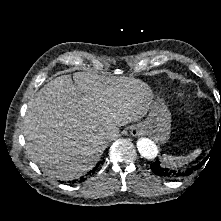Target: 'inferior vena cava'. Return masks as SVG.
I'll use <instances>...</instances> for the list:
<instances>
[{
    "label": "inferior vena cava",
    "mask_w": 221,
    "mask_h": 221,
    "mask_svg": "<svg viewBox=\"0 0 221 221\" xmlns=\"http://www.w3.org/2000/svg\"><path fill=\"white\" fill-rule=\"evenodd\" d=\"M103 135H104V138L109 141L113 140L116 137V134L112 131H107Z\"/></svg>",
    "instance_id": "602c4592"
}]
</instances>
